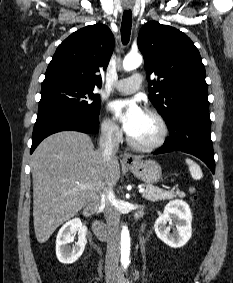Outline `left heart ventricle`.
I'll use <instances>...</instances> for the list:
<instances>
[{"label":"left heart ventricle","mask_w":233,"mask_h":283,"mask_svg":"<svg viewBox=\"0 0 233 283\" xmlns=\"http://www.w3.org/2000/svg\"><path fill=\"white\" fill-rule=\"evenodd\" d=\"M129 134L140 143H152L160 135V126L153 116L144 112Z\"/></svg>","instance_id":"b2bd125f"}]
</instances>
